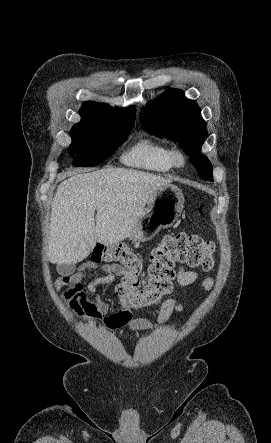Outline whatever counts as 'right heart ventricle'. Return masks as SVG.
Here are the masks:
<instances>
[{
	"label": "right heart ventricle",
	"mask_w": 271,
	"mask_h": 443,
	"mask_svg": "<svg viewBox=\"0 0 271 443\" xmlns=\"http://www.w3.org/2000/svg\"><path fill=\"white\" fill-rule=\"evenodd\" d=\"M172 146L162 140L140 136L122 154L123 163L157 173H169L175 166L171 159Z\"/></svg>",
	"instance_id": "obj_1"
}]
</instances>
